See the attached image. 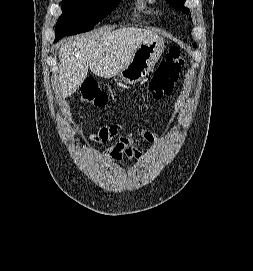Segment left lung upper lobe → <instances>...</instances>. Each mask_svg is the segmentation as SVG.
Masks as SVG:
<instances>
[{
  "mask_svg": "<svg viewBox=\"0 0 253 271\" xmlns=\"http://www.w3.org/2000/svg\"><path fill=\"white\" fill-rule=\"evenodd\" d=\"M168 1L173 8L179 11H183L185 13H189V9L184 7L185 0H168Z\"/></svg>",
  "mask_w": 253,
  "mask_h": 271,
  "instance_id": "5c2ea615",
  "label": "left lung upper lobe"
}]
</instances>
